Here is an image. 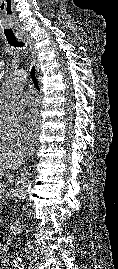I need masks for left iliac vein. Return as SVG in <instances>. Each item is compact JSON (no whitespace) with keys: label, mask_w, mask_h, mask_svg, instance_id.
<instances>
[{"label":"left iliac vein","mask_w":118,"mask_h":269,"mask_svg":"<svg viewBox=\"0 0 118 269\" xmlns=\"http://www.w3.org/2000/svg\"><path fill=\"white\" fill-rule=\"evenodd\" d=\"M27 269H33L32 267H28Z\"/></svg>","instance_id":"4c4485c4"}]
</instances>
